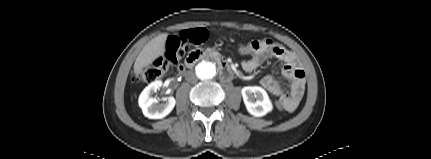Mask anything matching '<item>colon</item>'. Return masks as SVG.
Instances as JSON below:
<instances>
[{
    "instance_id": "obj_1",
    "label": "colon",
    "mask_w": 431,
    "mask_h": 159,
    "mask_svg": "<svg viewBox=\"0 0 431 159\" xmlns=\"http://www.w3.org/2000/svg\"><path fill=\"white\" fill-rule=\"evenodd\" d=\"M207 39L205 29H194L182 32L180 35L169 36L165 44V53L156 59L153 64L133 76L135 82L151 83L158 80L167 71V69L178 62L185 56L190 44H200ZM251 46L238 45L236 53L244 55L251 51ZM273 106L278 112H286L280 100H274Z\"/></svg>"
}]
</instances>
